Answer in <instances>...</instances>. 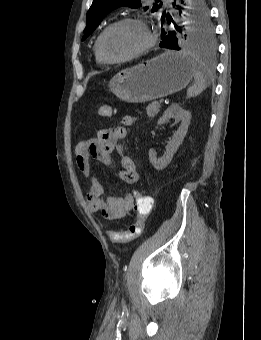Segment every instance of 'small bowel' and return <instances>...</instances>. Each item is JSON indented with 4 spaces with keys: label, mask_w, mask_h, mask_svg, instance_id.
<instances>
[{
    "label": "small bowel",
    "mask_w": 261,
    "mask_h": 340,
    "mask_svg": "<svg viewBox=\"0 0 261 340\" xmlns=\"http://www.w3.org/2000/svg\"><path fill=\"white\" fill-rule=\"evenodd\" d=\"M136 118L126 115L122 118V126L105 128L97 131L94 138L82 140L75 146L76 164L81 174L89 180L90 189L87 201L91 212H100L105 218L119 220L125 218L133 209L134 198L131 194L122 197L105 196V189L100 180L91 174V158H95L109 168L115 166L113 153L120 155L121 169L118 177L127 184H136L139 174L134 160L124 154L120 143L127 136V128Z\"/></svg>",
    "instance_id": "1"
}]
</instances>
